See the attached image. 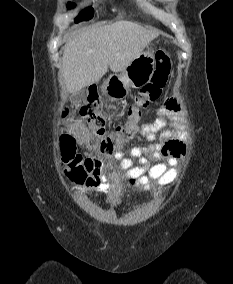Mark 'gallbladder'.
Returning a JSON list of instances; mask_svg holds the SVG:
<instances>
[{
	"mask_svg": "<svg viewBox=\"0 0 233 284\" xmlns=\"http://www.w3.org/2000/svg\"><path fill=\"white\" fill-rule=\"evenodd\" d=\"M87 91L82 89L72 96V101L76 104L82 103L86 100Z\"/></svg>",
	"mask_w": 233,
	"mask_h": 284,
	"instance_id": "1",
	"label": "gallbladder"
}]
</instances>
